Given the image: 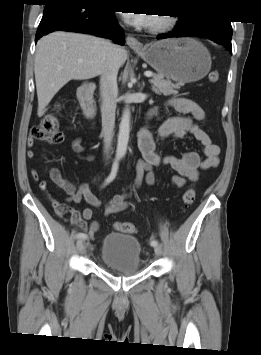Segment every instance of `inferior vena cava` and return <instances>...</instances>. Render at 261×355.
Segmentation results:
<instances>
[{
  "instance_id": "obj_1",
  "label": "inferior vena cava",
  "mask_w": 261,
  "mask_h": 355,
  "mask_svg": "<svg viewBox=\"0 0 261 355\" xmlns=\"http://www.w3.org/2000/svg\"><path fill=\"white\" fill-rule=\"evenodd\" d=\"M118 46L108 43L104 65L100 76L101 115L104 138V152L108 154L114 135L117 74L120 67Z\"/></svg>"
}]
</instances>
